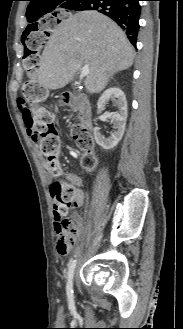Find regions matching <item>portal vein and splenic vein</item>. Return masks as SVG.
Masks as SVG:
<instances>
[{"instance_id": "obj_1", "label": "portal vein and splenic vein", "mask_w": 183, "mask_h": 329, "mask_svg": "<svg viewBox=\"0 0 183 329\" xmlns=\"http://www.w3.org/2000/svg\"><path fill=\"white\" fill-rule=\"evenodd\" d=\"M88 74H89L88 66L83 67L80 74V80Z\"/></svg>"}]
</instances>
